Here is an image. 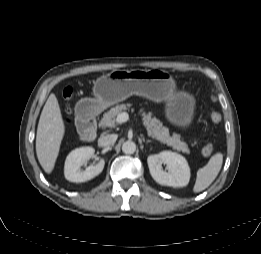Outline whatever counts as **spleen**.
I'll list each match as a JSON object with an SVG mask.
<instances>
[{
  "label": "spleen",
  "instance_id": "3e777b00",
  "mask_svg": "<svg viewBox=\"0 0 261 254\" xmlns=\"http://www.w3.org/2000/svg\"><path fill=\"white\" fill-rule=\"evenodd\" d=\"M222 163V153H216L203 168L197 171L196 182L193 188L195 193L205 190L212 184L221 170Z\"/></svg>",
  "mask_w": 261,
  "mask_h": 254
}]
</instances>
